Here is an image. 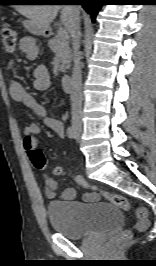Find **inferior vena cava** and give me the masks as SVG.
Here are the masks:
<instances>
[{
    "mask_svg": "<svg viewBox=\"0 0 156 266\" xmlns=\"http://www.w3.org/2000/svg\"><path fill=\"white\" fill-rule=\"evenodd\" d=\"M72 7V23L70 26V34L72 37V46H73V71H72V80H71V113L72 121L75 123L81 122L82 115V75H81V55H80V39H81V30H80V12L77 5H71Z\"/></svg>",
    "mask_w": 156,
    "mask_h": 266,
    "instance_id": "602c4592",
    "label": "inferior vena cava"
}]
</instances>
